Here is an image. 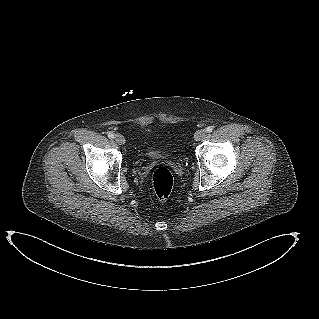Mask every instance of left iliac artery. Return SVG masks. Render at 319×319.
<instances>
[{
    "instance_id": "1",
    "label": "left iliac artery",
    "mask_w": 319,
    "mask_h": 319,
    "mask_svg": "<svg viewBox=\"0 0 319 319\" xmlns=\"http://www.w3.org/2000/svg\"><path fill=\"white\" fill-rule=\"evenodd\" d=\"M212 130H213V127H212V126H208V127L206 128V132H207V133L212 132Z\"/></svg>"
}]
</instances>
